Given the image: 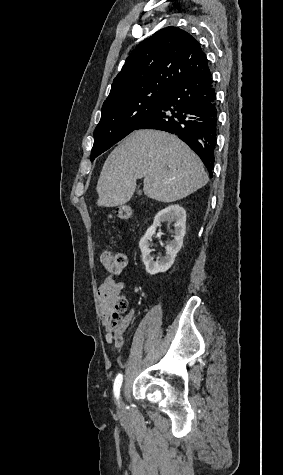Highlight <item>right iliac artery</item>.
Wrapping results in <instances>:
<instances>
[{
    "label": "right iliac artery",
    "instance_id": "1",
    "mask_svg": "<svg viewBox=\"0 0 283 475\" xmlns=\"http://www.w3.org/2000/svg\"><path fill=\"white\" fill-rule=\"evenodd\" d=\"M122 381H123V376L121 374H119L116 379H115V382H114V395L115 397L118 399L119 398V394H120V388H121V385H122Z\"/></svg>",
    "mask_w": 283,
    "mask_h": 475
}]
</instances>
